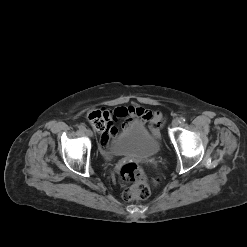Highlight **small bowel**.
<instances>
[{
	"instance_id": "1",
	"label": "small bowel",
	"mask_w": 247,
	"mask_h": 247,
	"mask_svg": "<svg viewBox=\"0 0 247 247\" xmlns=\"http://www.w3.org/2000/svg\"><path fill=\"white\" fill-rule=\"evenodd\" d=\"M108 118V128L104 132L102 138V146L104 147L109 138L117 135L118 129L116 123L119 120L127 119L128 122L124 124V129L132 125H149L153 135L159 137L160 129L163 125L164 116L160 111H152L139 106H121L113 111H103Z\"/></svg>"
}]
</instances>
